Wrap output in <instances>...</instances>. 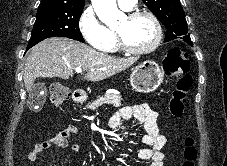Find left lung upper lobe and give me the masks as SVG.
Listing matches in <instances>:
<instances>
[{
  "instance_id": "5c2ea615",
  "label": "left lung upper lobe",
  "mask_w": 227,
  "mask_h": 166,
  "mask_svg": "<svg viewBox=\"0 0 227 166\" xmlns=\"http://www.w3.org/2000/svg\"><path fill=\"white\" fill-rule=\"evenodd\" d=\"M166 27L165 41L180 39L192 45L185 14L179 0H143Z\"/></svg>"
}]
</instances>
